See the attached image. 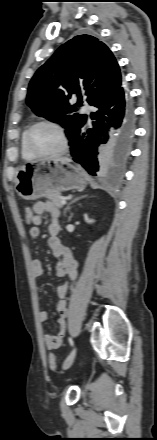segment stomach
Instances as JSON below:
<instances>
[{
    "label": "stomach",
    "instance_id": "obj_1",
    "mask_svg": "<svg viewBox=\"0 0 157 440\" xmlns=\"http://www.w3.org/2000/svg\"><path fill=\"white\" fill-rule=\"evenodd\" d=\"M87 174L69 162L42 159L26 163L15 176V189L25 200H36L72 189H84Z\"/></svg>",
    "mask_w": 157,
    "mask_h": 440
}]
</instances>
